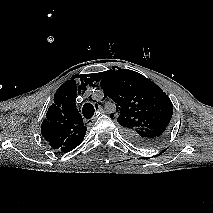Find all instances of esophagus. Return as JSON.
I'll use <instances>...</instances> for the list:
<instances>
[{"label": "esophagus", "instance_id": "1", "mask_svg": "<svg viewBox=\"0 0 213 213\" xmlns=\"http://www.w3.org/2000/svg\"><path fill=\"white\" fill-rule=\"evenodd\" d=\"M97 113H101V114L105 113V110H104V108H103L101 105H98V106H97ZM96 119H97V115L94 116V117L91 119V121H95Z\"/></svg>", "mask_w": 213, "mask_h": 213}]
</instances>
